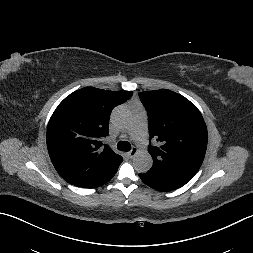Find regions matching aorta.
<instances>
[{"instance_id": "1", "label": "aorta", "mask_w": 253, "mask_h": 253, "mask_svg": "<svg viewBox=\"0 0 253 253\" xmlns=\"http://www.w3.org/2000/svg\"><path fill=\"white\" fill-rule=\"evenodd\" d=\"M112 120L117 126L125 127L131 122L132 115L128 109L117 108L112 114ZM152 165L153 160L149 153H139L134 157L133 166L138 173H146Z\"/></svg>"}]
</instances>
